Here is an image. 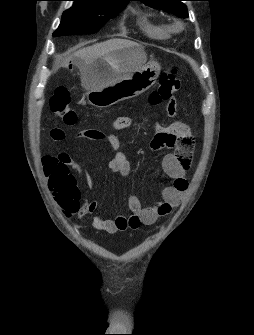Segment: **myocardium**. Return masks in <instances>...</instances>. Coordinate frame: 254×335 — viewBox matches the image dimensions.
<instances>
[{
    "label": "myocardium",
    "mask_w": 254,
    "mask_h": 335,
    "mask_svg": "<svg viewBox=\"0 0 254 335\" xmlns=\"http://www.w3.org/2000/svg\"><path fill=\"white\" fill-rule=\"evenodd\" d=\"M180 28H181V26H180L179 23H176V24L174 25V29H175V30H179Z\"/></svg>",
    "instance_id": "f54148a6"
}]
</instances>
